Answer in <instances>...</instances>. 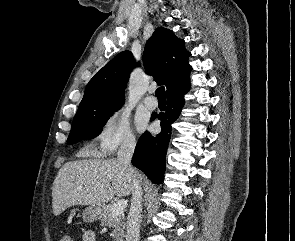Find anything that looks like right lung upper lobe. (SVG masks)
Segmentation results:
<instances>
[{"label": "right lung upper lobe", "instance_id": "right-lung-upper-lobe-1", "mask_svg": "<svg viewBox=\"0 0 295 241\" xmlns=\"http://www.w3.org/2000/svg\"><path fill=\"white\" fill-rule=\"evenodd\" d=\"M189 56L184 40L178 39L171 30L160 27L146 43L143 64L146 73L158 84H164L169 92L189 83ZM135 66L131 52L119 53L89 81L79 108L124 101V88Z\"/></svg>", "mask_w": 295, "mask_h": 241}]
</instances>
